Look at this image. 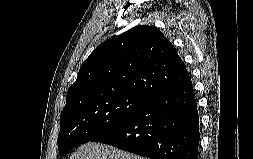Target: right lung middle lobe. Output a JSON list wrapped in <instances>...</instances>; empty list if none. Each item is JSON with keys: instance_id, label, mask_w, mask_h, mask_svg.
I'll list each match as a JSON object with an SVG mask.
<instances>
[{"instance_id": "obj_1", "label": "right lung middle lobe", "mask_w": 253, "mask_h": 159, "mask_svg": "<svg viewBox=\"0 0 253 159\" xmlns=\"http://www.w3.org/2000/svg\"><path fill=\"white\" fill-rule=\"evenodd\" d=\"M146 100L135 93H97L67 103L60 116L59 154L118 126Z\"/></svg>"}]
</instances>
